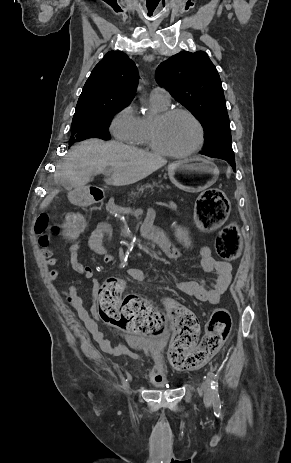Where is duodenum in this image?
<instances>
[{
	"label": "duodenum",
	"instance_id": "obj_1",
	"mask_svg": "<svg viewBox=\"0 0 291 463\" xmlns=\"http://www.w3.org/2000/svg\"><path fill=\"white\" fill-rule=\"evenodd\" d=\"M104 197H105V193H104L103 190H101L99 188H92L90 190V198H91L92 201L100 202V201H102L104 199ZM149 226H152V224H150Z\"/></svg>",
	"mask_w": 291,
	"mask_h": 463
}]
</instances>
